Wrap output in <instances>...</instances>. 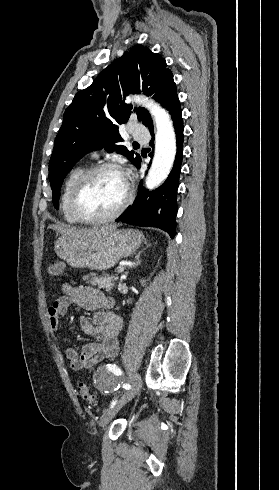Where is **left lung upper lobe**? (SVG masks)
Listing matches in <instances>:
<instances>
[{
	"mask_svg": "<svg viewBox=\"0 0 279 490\" xmlns=\"http://www.w3.org/2000/svg\"><path fill=\"white\" fill-rule=\"evenodd\" d=\"M153 95L167 108L178 96L173 74L165 59L149 48L136 45L113 61L84 90L79 91L65 110L63 124L56 136L49 162V180L53 204L57 208L63 179L74 164L92 150L105 148L125 155L135 164L134 156L123 145L117 124L127 122L132 105L122 104V95L139 93ZM145 126L152 124L144 108H135Z\"/></svg>",
	"mask_w": 279,
	"mask_h": 490,
	"instance_id": "obj_1",
	"label": "left lung upper lobe"
}]
</instances>
